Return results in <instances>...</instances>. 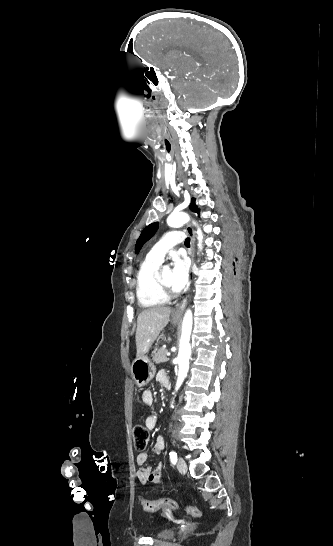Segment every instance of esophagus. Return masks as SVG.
<instances>
[{
    "instance_id": "esophagus-1",
    "label": "esophagus",
    "mask_w": 333,
    "mask_h": 546,
    "mask_svg": "<svg viewBox=\"0 0 333 546\" xmlns=\"http://www.w3.org/2000/svg\"><path fill=\"white\" fill-rule=\"evenodd\" d=\"M186 230H187V232H188V234L190 235V238H191V247H190V250H189V254H190V257H191V261L193 263L194 262V250H195V232H194L193 228L191 227V225H187ZM187 300H188V295L182 300V302L180 304H178L176 306V308L173 311L174 316H181L183 314V311H184V309L186 307V304H187Z\"/></svg>"
}]
</instances>
